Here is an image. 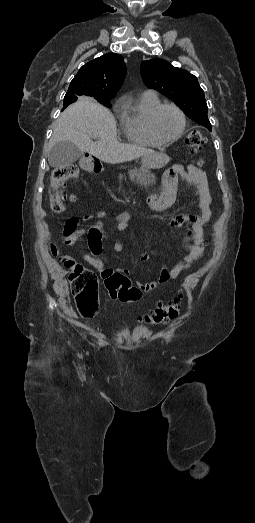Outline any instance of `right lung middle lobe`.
<instances>
[{"label": "right lung middle lobe", "mask_w": 255, "mask_h": 523, "mask_svg": "<svg viewBox=\"0 0 255 523\" xmlns=\"http://www.w3.org/2000/svg\"><path fill=\"white\" fill-rule=\"evenodd\" d=\"M98 102L104 105L105 107H112L110 100H99Z\"/></svg>", "instance_id": "1"}]
</instances>
